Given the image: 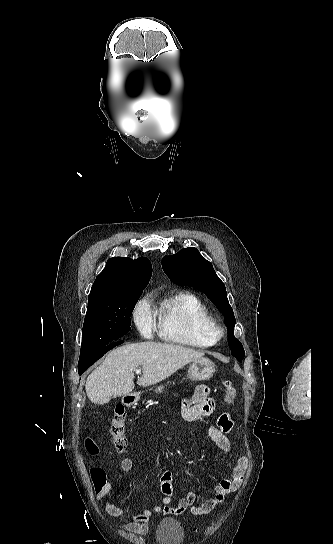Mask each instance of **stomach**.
Wrapping results in <instances>:
<instances>
[{
    "label": "stomach",
    "instance_id": "obj_1",
    "mask_svg": "<svg viewBox=\"0 0 333 544\" xmlns=\"http://www.w3.org/2000/svg\"><path fill=\"white\" fill-rule=\"evenodd\" d=\"M215 372V365L213 362L207 358H201L194 361L188 369V378L191 380H207L213 376ZM155 393L160 394L164 391V386L159 385L154 389ZM133 401H137L139 398L138 394L131 396Z\"/></svg>",
    "mask_w": 333,
    "mask_h": 544
}]
</instances>
